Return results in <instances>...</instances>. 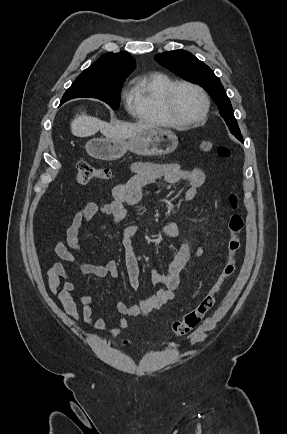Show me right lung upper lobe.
Segmentation results:
<instances>
[{
  "instance_id": "1",
  "label": "right lung upper lobe",
  "mask_w": 287,
  "mask_h": 434,
  "mask_svg": "<svg viewBox=\"0 0 287 434\" xmlns=\"http://www.w3.org/2000/svg\"><path fill=\"white\" fill-rule=\"evenodd\" d=\"M134 69L135 60L129 53H107L85 69L79 77L120 81L125 80Z\"/></svg>"
}]
</instances>
